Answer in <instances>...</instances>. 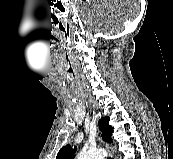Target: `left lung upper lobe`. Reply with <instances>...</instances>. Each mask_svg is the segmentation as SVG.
I'll return each mask as SVG.
<instances>
[{"label":"left lung upper lobe","mask_w":173,"mask_h":159,"mask_svg":"<svg viewBox=\"0 0 173 159\" xmlns=\"http://www.w3.org/2000/svg\"><path fill=\"white\" fill-rule=\"evenodd\" d=\"M99 126L100 130L102 132V139L104 141H107L108 143L112 142V127L109 125V117H102L99 120ZM76 147L74 149L70 145H66L63 148L60 149V151L57 154L56 159H72L73 153H75Z\"/></svg>","instance_id":"left-lung-upper-lobe-1"}]
</instances>
